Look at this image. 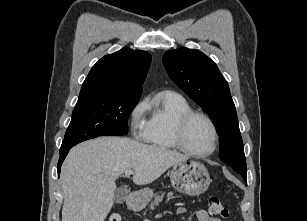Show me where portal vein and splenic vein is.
Instances as JSON below:
<instances>
[{"mask_svg":"<svg viewBox=\"0 0 307 221\" xmlns=\"http://www.w3.org/2000/svg\"><path fill=\"white\" fill-rule=\"evenodd\" d=\"M131 174H133V171H132V170H126V171H125V175H126V176H129V175H131Z\"/></svg>","mask_w":307,"mask_h":221,"instance_id":"obj_1","label":"portal vein and splenic vein"}]
</instances>
